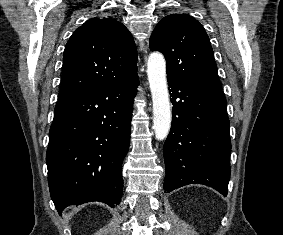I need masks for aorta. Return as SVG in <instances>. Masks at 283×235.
Returning <instances> with one entry per match:
<instances>
[{"mask_svg": "<svg viewBox=\"0 0 283 235\" xmlns=\"http://www.w3.org/2000/svg\"><path fill=\"white\" fill-rule=\"evenodd\" d=\"M147 75L153 102V129L157 140H164L171 127V106L166 79V62L159 52L149 55Z\"/></svg>", "mask_w": 283, "mask_h": 235, "instance_id": "aorta-1", "label": "aorta"}]
</instances>
